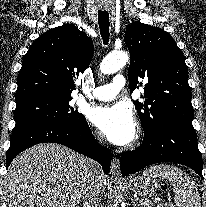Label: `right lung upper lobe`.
<instances>
[{"label":"right lung upper lobe","instance_id":"right-lung-upper-lobe-1","mask_svg":"<svg viewBox=\"0 0 206 207\" xmlns=\"http://www.w3.org/2000/svg\"><path fill=\"white\" fill-rule=\"evenodd\" d=\"M92 40L72 24L36 39L23 58L15 100L36 94L71 96L74 79L93 57Z\"/></svg>","mask_w":206,"mask_h":207}]
</instances>
